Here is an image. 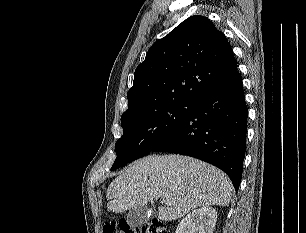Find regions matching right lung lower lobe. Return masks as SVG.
I'll list each match as a JSON object with an SVG mask.
<instances>
[{
	"label": "right lung lower lobe",
	"mask_w": 306,
	"mask_h": 233,
	"mask_svg": "<svg viewBox=\"0 0 306 233\" xmlns=\"http://www.w3.org/2000/svg\"><path fill=\"white\" fill-rule=\"evenodd\" d=\"M248 109L241 77L202 100L152 151L192 156L222 169L238 191L246 151Z\"/></svg>",
	"instance_id": "98d812e1"
}]
</instances>
